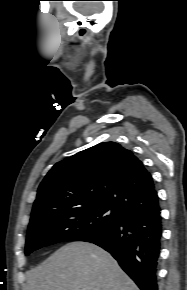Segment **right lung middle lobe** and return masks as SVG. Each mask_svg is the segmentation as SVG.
<instances>
[{
  "label": "right lung middle lobe",
  "mask_w": 187,
  "mask_h": 290,
  "mask_svg": "<svg viewBox=\"0 0 187 290\" xmlns=\"http://www.w3.org/2000/svg\"><path fill=\"white\" fill-rule=\"evenodd\" d=\"M122 214L106 205L59 211L29 224L25 254L67 240H79L117 224Z\"/></svg>",
  "instance_id": "dd1d6c3e"
}]
</instances>
